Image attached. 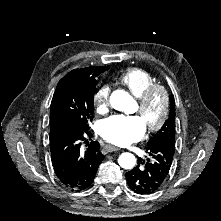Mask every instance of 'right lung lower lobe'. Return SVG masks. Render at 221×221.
<instances>
[{"label": "right lung lower lobe", "mask_w": 221, "mask_h": 221, "mask_svg": "<svg viewBox=\"0 0 221 221\" xmlns=\"http://www.w3.org/2000/svg\"><path fill=\"white\" fill-rule=\"evenodd\" d=\"M86 136L91 137L89 130L72 129L62 130L50 136L54 171L62 185L71 191H81L90 187L100 163L105 158L97 141L87 143L86 150H81V142Z\"/></svg>", "instance_id": "98d812e1"}]
</instances>
